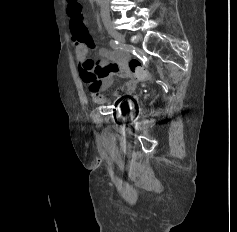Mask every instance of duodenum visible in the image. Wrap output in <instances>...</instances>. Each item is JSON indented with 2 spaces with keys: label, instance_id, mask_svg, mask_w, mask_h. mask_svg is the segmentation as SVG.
Segmentation results:
<instances>
[{
  "label": "duodenum",
  "instance_id": "duodenum-1",
  "mask_svg": "<svg viewBox=\"0 0 237 232\" xmlns=\"http://www.w3.org/2000/svg\"><path fill=\"white\" fill-rule=\"evenodd\" d=\"M93 1H95V2H97V3H100L101 0H93Z\"/></svg>",
  "mask_w": 237,
  "mask_h": 232
}]
</instances>
